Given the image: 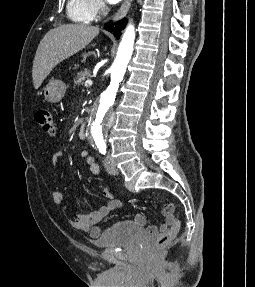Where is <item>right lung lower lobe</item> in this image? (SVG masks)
Returning <instances> with one entry per match:
<instances>
[{
  "label": "right lung lower lobe",
  "mask_w": 255,
  "mask_h": 287,
  "mask_svg": "<svg viewBox=\"0 0 255 287\" xmlns=\"http://www.w3.org/2000/svg\"><path fill=\"white\" fill-rule=\"evenodd\" d=\"M126 20H121L117 23H115L116 27H114V24L112 22H108L105 24L104 28L108 31H112L114 36L119 39L120 37V33H121V30L125 27L126 25Z\"/></svg>",
  "instance_id": "obj_1"
}]
</instances>
